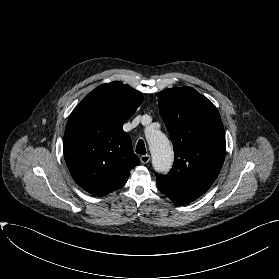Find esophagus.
Instances as JSON below:
<instances>
[{"mask_svg":"<svg viewBox=\"0 0 279 279\" xmlns=\"http://www.w3.org/2000/svg\"><path fill=\"white\" fill-rule=\"evenodd\" d=\"M140 161L143 164H147L150 161V155L146 154V155H142L140 157Z\"/></svg>","mask_w":279,"mask_h":279,"instance_id":"34e87169","label":"esophagus"}]
</instances>
